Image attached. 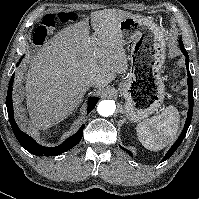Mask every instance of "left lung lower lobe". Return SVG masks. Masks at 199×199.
Listing matches in <instances>:
<instances>
[{
  "label": "left lung lower lobe",
  "instance_id": "1",
  "mask_svg": "<svg viewBox=\"0 0 199 199\" xmlns=\"http://www.w3.org/2000/svg\"><path fill=\"white\" fill-rule=\"evenodd\" d=\"M180 48H181L182 53L186 57V67H187V74H188L187 82H188L189 110H188V113H187V119H186V122H185V126H184L180 136L178 137L177 141L172 145V147L169 149V151L166 153V155L164 156V158L162 159L161 162L167 160L177 150V148L179 147V145L181 144V142L183 141V139H184V137L187 133V130L190 126L191 119H192L193 104H194L193 80H192V77H191V74H190V71H189V56H188L186 49L183 46L182 40H180ZM123 150H125L130 156H132V154L129 150L124 149V148H123Z\"/></svg>",
  "mask_w": 199,
  "mask_h": 199
}]
</instances>
